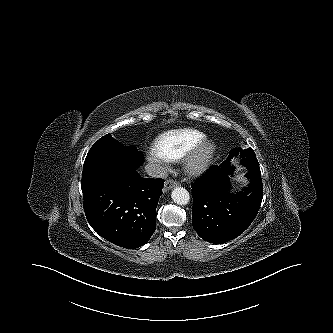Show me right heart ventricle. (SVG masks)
Returning a JSON list of instances; mask_svg holds the SVG:
<instances>
[{
    "label": "right heart ventricle",
    "instance_id": "e07e8e85",
    "mask_svg": "<svg viewBox=\"0 0 333 333\" xmlns=\"http://www.w3.org/2000/svg\"><path fill=\"white\" fill-rule=\"evenodd\" d=\"M204 139L205 134L198 130H173L157 138L154 144V151L167 161H179Z\"/></svg>",
    "mask_w": 333,
    "mask_h": 333
}]
</instances>
